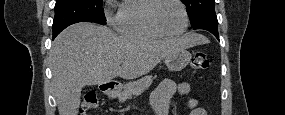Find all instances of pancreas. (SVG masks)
Wrapping results in <instances>:
<instances>
[{
  "label": "pancreas",
  "mask_w": 285,
  "mask_h": 115,
  "mask_svg": "<svg viewBox=\"0 0 285 115\" xmlns=\"http://www.w3.org/2000/svg\"><path fill=\"white\" fill-rule=\"evenodd\" d=\"M153 82L152 76H145L139 80L128 82L123 86V91L119 96V101L124 102L127 99H131L132 96H138L148 89Z\"/></svg>",
  "instance_id": "obj_1"
}]
</instances>
